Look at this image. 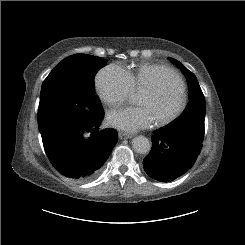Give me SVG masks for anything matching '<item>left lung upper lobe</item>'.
Masks as SVG:
<instances>
[{"instance_id": "obj_1", "label": "left lung upper lobe", "mask_w": 245, "mask_h": 245, "mask_svg": "<svg viewBox=\"0 0 245 245\" xmlns=\"http://www.w3.org/2000/svg\"><path fill=\"white\" fill-rule=\"evenodd\" d=\"M169 60L181 69L187 79L189 86V102L179 119L163 130L171 134L186 135L202 143L205 119L204 95L195 75L179 61L173 58H169Z\"/></svg>"}]
</instances>
